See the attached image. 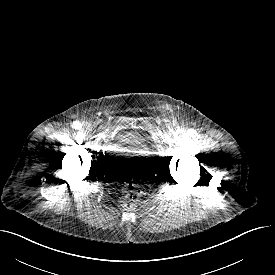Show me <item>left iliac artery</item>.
I'll use <instances>...</instances> for the list:
<instances>
[{
  "mask_svg": "<svg viewBox=\"0 0 275 275\" xmlns=\"http://www.w3.org/2000/svg\"><path fill=\"white\" fill-rule=\"evenodd\" d=\"M189 134H190L191 136H195V135H197V133H196V131H195V130H190V131H189Z\"/></svg>",
  "mask_w": 275,
  "mask_h": 275,
  "instance_id": "left-iliac-artery-1",
  "label": "left iliac artery"
}]
</instances>
